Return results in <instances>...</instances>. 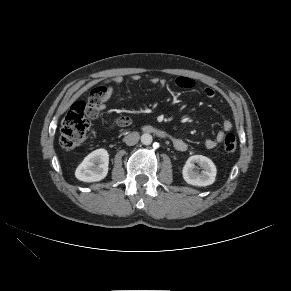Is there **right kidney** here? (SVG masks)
Wrapping results in <instances>:
<instances>
[{
    "label": "right kidney",
    "mask_w": 291,
    "mask_h": 291,
    "mask_svg": "<svg viewBox=\"0 0 291 291\" xmlns=\"http://www.w3.org/2000/svg\"><path fill=\"white\" fill-rule=\"evenodd\" d=\"M109 154L105 149H97L87 155L75 171L78 180L96 182L108 173Z\"/></svg>",
    "instance_id": "1"
}]
</instances>
